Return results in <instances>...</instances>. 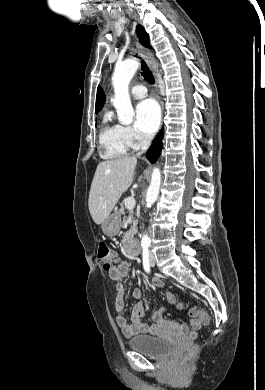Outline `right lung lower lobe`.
<instances>
[{"label":"right lung lower lobe","instance_id":"98d812e1","mask_svg":"<svg viewBox=\"0 0 265 390\" xmlns=\"http://www.w3.org/2000/svg\"><path fill=\"white\" fill-rule=\"evenodd\" d=\"M162 136L163 131L161 130L153 141L151 147L149 148L146 157L151 163H155L159 158L162 150Z\"/></svg>","mask_w":265,"mask_h":390}]
</instances>
